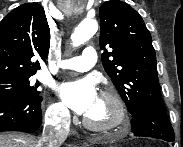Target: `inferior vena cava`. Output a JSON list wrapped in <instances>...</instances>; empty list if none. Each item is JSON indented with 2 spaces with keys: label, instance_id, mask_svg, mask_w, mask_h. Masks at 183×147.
Listing matches in <instances>:
<instances>
[{
  "label": "inferior vena cava",
  "instance_id": "1",
  "mask_svg": "<svg viewBox=\"0 0 183 147\" xmlns=\"http://www.w3.org/2000/svg\"><path fill=\"white\" fill-rule=\"evenodd\" d=\"M69 124V118L61 121V118L53 117L45 124L42 136L38 140L37 147H60L68 136Z\"/></svg>",
  "mask_w": 183,
  "mask_h": 147
}]
</instances>
